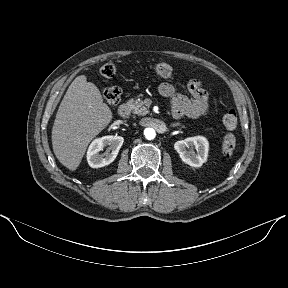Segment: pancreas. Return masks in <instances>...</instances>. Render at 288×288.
<instances>
[{"label":"pancreas","instance_id":"pancreas-1","mask_svg":"<svg viewBox=\"0 0 288 288\" xmlns=\"http://www.w3.org/2000/svg\"><path fill=\"white\" fill-rule=\"evenodd\" d=\"M127 104L134 114L144 116L149 113L148 108L144 106V103L141 99H130Z\"/></svg>","mask_w":288,"mask_h":288}]
</instances>
